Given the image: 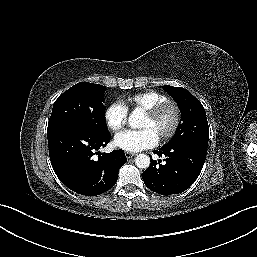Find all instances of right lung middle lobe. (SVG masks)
<instances>
[{
	"mask_svg": "<svg viewBox=\"0 0 257 257\" xmlns=\"http://www.w3.org/2000/svg\"><path fill=\"white\" fill-rule=\"evenodd\" d=\"M99 84L80 82L55 101L48 127L62 123H78L98 134L109 133L105 121L103 93Z\"/></svg>",
	"mask_w": 257,
	"mask_h": 257,
	"instance_id": "dd1d6c3e",
	"label": "right lung middle lobe"
}]
</instances>
